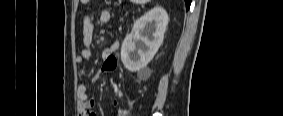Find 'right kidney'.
I'll use <instances>...</instances> for the list:
<instances>
[{
  "label": "right kidney",
  "mask_w": 283,
  "mask_h": 116,
  "mask_svg": "<svg viewBox=\"0 0 283 116\" xmlns=\"http://www.w3.org/2000/svg\"><path fill=\"white\" fill-rule=\"evenodd\" d=\"M167 24L168 15L162 7L153 8L134 23L121 46V60L128 71L137 72L153 59Z\"/></svg>",
  "instance_id": "ca27d5eb"
}]
</instances>
